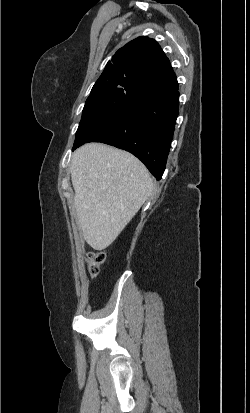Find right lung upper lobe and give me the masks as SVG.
<instances>
[{
  "label": "right lung upper lobe",
  "mask_w": 250,
  "mask_h": 413,
  "mask_svg": "<svg viewBox=\"0 0 250 413\" xmlns=\"http://www.w3.org/2000/svg\"><path fill=\"white\" fill-rule=\"evenodd\" d=\"M119 87L145 95L178 87L169 59L159 44L138 37L120 48L93 88Z\"/></svg>",
  "instance_id": "right-lung-upper-lobe-1"
}]
</instances>
